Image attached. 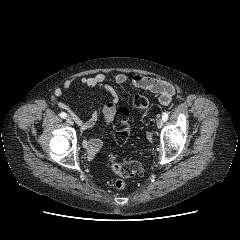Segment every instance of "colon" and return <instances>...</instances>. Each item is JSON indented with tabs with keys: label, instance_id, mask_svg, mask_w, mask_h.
Returning a JSON list of instances; mask_svg holds the SVG:
<instances>
[{
	"label": "colon",
	"instance_id": "5ec220e1",
	"mask_svg": "<svg viewBox=\"0 0 240 240\" xmlns=\"http://www.w3.org/2000/svg\"><path fill=\"white\" fill-rule=\"evenodd\" d=\"M132 105L143 112V120L146 123L156 120L160 115V108L157 105H149L147 98L141 94L134 95ZM113 123L115 128V143L117 145L125 144L130 134L129 110L126 107L118 108ZM109 160L113 171L120 177L115 182V186L118 189L126 187V178L144 174V169L138 161H128L120 164L116 161L114 154L109 155Z\"/></svg>",
	"mask_w": 240,
	"mask_h": 240
}]
</instances>
